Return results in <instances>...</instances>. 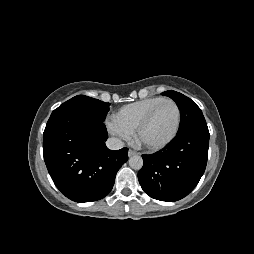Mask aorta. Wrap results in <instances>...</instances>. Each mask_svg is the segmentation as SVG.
<instances>
[{"label":"aorta","mask_w":254,"mask_h":254,"mask_svg":"<svg viewBox=\"0 0 254 254\" xmlns=\"http://www.w3.org/2000/svg\"><path fill=\"white\" fill-rule=\"evenodd\" d=\"M129 166L134 170H140L143 166V159L141 156L134 155L129 159Z\"/></svg>","instance_id":"aorta-1"}]
</instances>
